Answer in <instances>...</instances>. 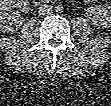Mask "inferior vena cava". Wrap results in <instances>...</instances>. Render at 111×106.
Listing matches in <instances>:
<instances>
[{"instance_id":"1","label":"inferior vena cava","mask_w":111,"mask_h":106,"mask_svg":"<svg viewBox=\"0 0 111 106\" xmlns=\"http://www.w3.org/2000/svg\"><path fill=\"white\" fill-rule=\"evenodd\" d=\"M51 11V6H49L48 4H41L39 7V14H47Z\"/></svg>"}]
</instances>
